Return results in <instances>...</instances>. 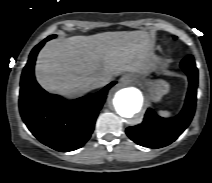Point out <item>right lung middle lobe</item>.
Masks as SVG:
<instances>
[{"label":"right lung middle lobe","instance_id":"1","mask_svg":"<svg viewBox=\"0 0 212 183\" xmlns=\"http://www.w3.org/2000/svg\"><path fill=\"white\" fill-rule=\"evenodd\" d=\"M52 37L51 38H55V35H51Z\"/></svg>","mask_w":212,"mask_h":183}]
</instances>
